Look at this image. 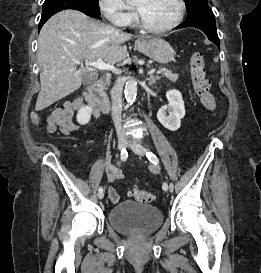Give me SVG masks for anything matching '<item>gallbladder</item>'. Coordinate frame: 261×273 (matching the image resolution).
I'll return each mask as SVG.
<instances>
[{
    "label": "gallbladder",
    "mask_w": 261,
    "mask_h": 273,
    "mask_svg": "<svg viewBox=\"0 0 261 273\" xmlns=\"http://www.w3.org/2000/svg\"><path fill=\"white\" fill-rule=\"evenodd\" d=\"M81 75H82V80H83L84 84H87V83H89L91 81L88 72L83 71Z\"/></svg>",
    "instance_id": "gallbladder-1"
}]
</instances>
